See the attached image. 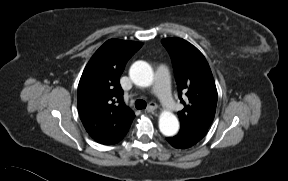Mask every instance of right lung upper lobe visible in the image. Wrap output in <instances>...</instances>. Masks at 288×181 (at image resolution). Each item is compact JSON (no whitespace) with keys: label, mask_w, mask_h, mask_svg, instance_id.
<instances>
[{"label":"right lung upper lobe","mask_w":288,"mask_h":181,"mask_svg":"<svg viewBox=\"0 0 288 181\" xmlns=\"http://www.w3.org/2000/svg\"><path fill=\"white\" fill-rule=\"evenodd\" d=\"M142 43L110 39L92 56L78 86L81 121L98 143H118L135 117L123 101L120 76L129 58Z\"/></svg>","instance_id":"1"}]
</instances>
